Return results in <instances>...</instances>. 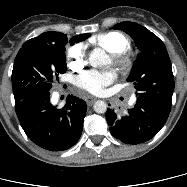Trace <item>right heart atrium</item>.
<instances>
[{
  "label": "right heart atrium",
  "instance_id": "right-heart-atrium-1",
  "mask_svg": "<svg viewBox=\"0 0 187 187\" xmlns=\"http://www.w3.org/2000/svg\"><path fill=\"white\" fill-rule=\"evenodd\" d=\"M86 45L79 43L71 47L68 51V62L71 69L80 71L85 65Z\"/></svg>",
  "mask_w": 187,
  "mask_h": 187
}]
</instances>
